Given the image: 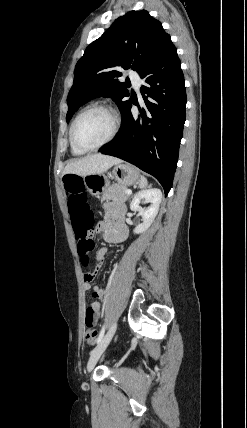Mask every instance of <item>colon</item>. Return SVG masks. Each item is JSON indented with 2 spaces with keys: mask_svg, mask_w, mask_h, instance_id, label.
<instances>
[{
  "mask_svg": "<svg viewBox=\"0 0 247 428\" xmlns=\"http://www.w3.org/2000/svg\"><path fill=\"white\" fill-rule=\"evenodd\" d=\"M64 189L68 197L67 213L72 217L76 239L78 241V253L83 266L89 264V253L94 248L91 238L94 218L92 209L88 208L85 187L82 178L76 175H67L63 179ZM86 319L84 320L87 330L84 341L91 345L95 341L98 323L101 319L102 307L95 299L86 302Z\"/></svg>",
  "mask_w": 247,
  "mask_h": 428,
  "instance_id": "1",
  "label": "colon"
}]
</instances>
